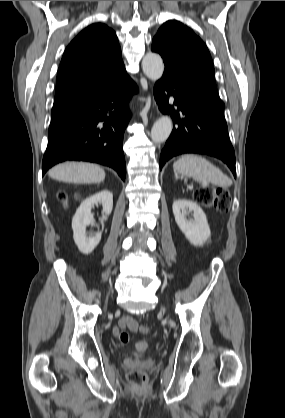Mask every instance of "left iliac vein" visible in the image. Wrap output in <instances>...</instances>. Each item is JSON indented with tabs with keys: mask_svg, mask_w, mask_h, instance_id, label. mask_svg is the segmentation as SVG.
I'll list each match as a JSON object with an SVG mask.
<instances>
[{
	"mask_svg": "<svg viewBox=\"0 0 285 418\" xmlns=\"http://www.w3.org/2000/svg\"><path fill=\"white\" fill-rule=\"evenodd\" d=\"M162 311L164 312V311H165V309H164V308H162Z\"/></svg>",
	"mask_w": 285,
	"mask_h": 418,
	"instance_id": "4c4485c4",
	"label": "left iliac vein"
}]
</instances>
